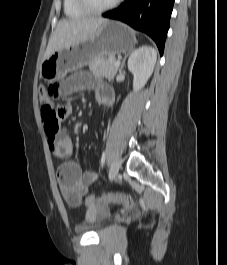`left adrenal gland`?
<instances>
[{"label": "left adrenal gland", "instance_id": "left-adrenal-gland-1", "mask_svg": "<svg viewBox=\"0 0 227 265\" xmlns=\"http://www.w3.org/2000/svg\"><path fill=\"white\" fill-rule=\"evenodd\" d=\"M127 56H128V54H126V55L124 56L119 71H121V70L123 69L124 64H125V60H126Z\"/></svg>", "mask_w": 227, "mask_h": 265}]
</instances>
